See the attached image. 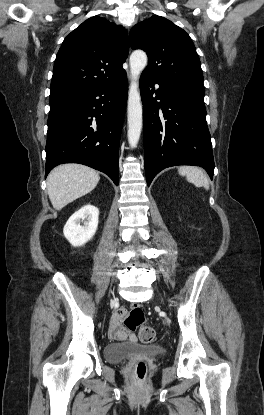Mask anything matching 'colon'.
<instances>
[{"instance_id":"colon-1","label":"colon","mask_w":264,"mask_h":415,"mask_svg":"<svg viewBox=\"0 0 264 415\" xmlns=\"http://www.w3.org/2000/svg\"><path fill=\"white\" fill-rule=\"evenodd\" d=\"M144 310L141 306H134L129 316L125 319V325L129 329L138 328L144 321ZM156 338V331L151 326H142L139 330V339L144 344L152 343ZM147 370L146 362L141 360L138 361L135 366V375L138 380H142L145 377Z\"/></svg>"}]
</instances>
